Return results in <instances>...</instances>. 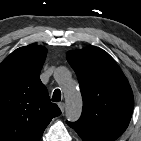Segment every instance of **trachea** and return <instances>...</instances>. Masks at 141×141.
Instances as JSON below:
<instances>
[{"label": "trachea", "mask_w": 141, "mask_h": 141, "mask_svg": "<svg viewBox=\"0 0 141 141\" xmlns=\"http://www.w3.org/2000/svg\"><path fill=\"white\" fill-rule=\"evenodd\" d=\"M53 102H59L61 101V91L59 89H56L53 93L52 97Z\"/></svg>", "instance_id": "3493384b"}]
</instances>
